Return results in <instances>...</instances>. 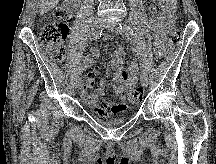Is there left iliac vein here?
<instances>
[{
    "label": "left iliac vein",
    "mask_w": 216,
    "mask_h": 164,
    "mask_svg": "<svg viewBox=\"0 0 216 164\" xmlns=\"http://www.w3.org/2000/svg\"><path fill=\"white\" fill-rule=\"evenodd\" d=\"M104 27L110 30L112 33L118 34V35H124L125 32H123L115 23H105ZM141 84L143 87H147L148 85V77L146 74H142L141 76Z\"/></svg>",
    "instance_id": "1"
}]
</instances>
